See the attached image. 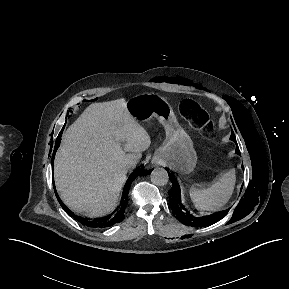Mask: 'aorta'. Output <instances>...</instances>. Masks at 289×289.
Segmentation results:
<instances>
[{"label":"aorta","mask_w":289,"mask_h":289,"mask_svg":"<svg viewBox=\"0 0 289 289\" xmlns=\"http://www.w3.org/2000/svg\"><path fill=\"white\" fill-rule=\"evenodd\" d=\"M151 182L157 186H164L169 181L168 172L164 168H155L150 174Z\"/></svg>","instance_id":"aorta-1"}]
</instances>
